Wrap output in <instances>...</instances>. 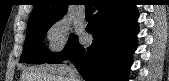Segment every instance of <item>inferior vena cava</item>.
Segmentation results:
<instances>
[{"mask_svg":"<svg viewBox=\"0 0 169 81\" xmlns=\"http://www.w3.org/2000/svg\"><path fill=\"white\" fill-rule=\"evenodd\" d=\"M68 73L70 76V81H80V75L76 67L70 62L68 66Z\"/></svg>","mask_w":169,"mask_h":81,"instance_id":"obj_1","label":"inferior vena cava"}]
</instances>
